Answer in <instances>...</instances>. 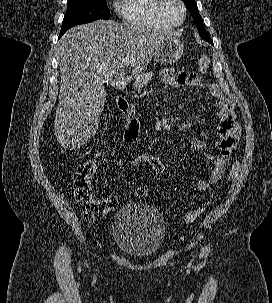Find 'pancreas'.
I'll return each instance as SVG.
<instances>
[{"instance_id":"cf45deb5","label":"pancreas","mask_w":272,"mask_h":303,"mask_svg":"<svg viewBox=\"0 0 272 303\" xmlns=\"http://www.w3.org/2000/svg\"><path fill=\"white\" fill-rule=\"evenodd\" d=\"M153 73L149 72V73H141L139 75H137L135 77V80L133 82V87L136 91H140L141 89H143L148 82L152 79Z\"/></svg>"}]
</instances>
